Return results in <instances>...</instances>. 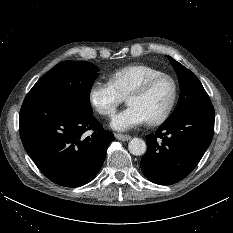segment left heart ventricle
Returning a JSON list of instances; mask_svg holds the SVG:
<instances>
[{
    "mask_svg": "<svg viewBox=\"0 0 233 233\" xmlns=\"http://www.w3.org/2000/svg\"><path fill=\"white\" fill-rule=\"evenodd\" d=\"M171 97L172 85L170 81L163 79L154 84L145 94L130 97L128 104L136 106L148 121L164 112Z\"/></svg>",
    "mask_w": 233,
    "mask_h": 233,
    "instance_id": "obj_1",
    "label": "left heart ventricle"
}]
</instances>
